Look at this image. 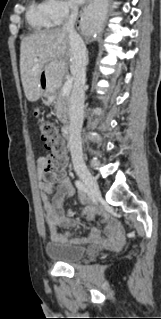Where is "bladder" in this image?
I'll return each mask as SVG.
<instances>
[{
  "mask_svg": "<svg viewBox=\"0 0 161 319\" xmlns=\"http://www.w3.org/2000/svg\"><path fill=\"white\" fill-rule=\"evenodd\" d=\"M46 255L58 262L73 263L85 255V248L81 244L51 240L44 248Z\"/></svg>",
  "mask_w": 161,
  "mask_h": 319,
  "instance_id": "31cf9c89",
  "label": "bladder"
}]
</instances>
